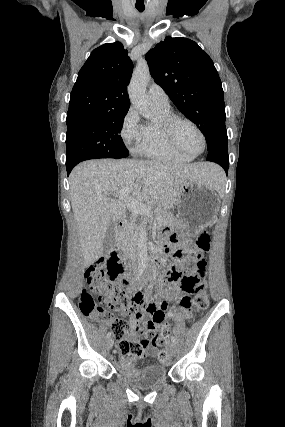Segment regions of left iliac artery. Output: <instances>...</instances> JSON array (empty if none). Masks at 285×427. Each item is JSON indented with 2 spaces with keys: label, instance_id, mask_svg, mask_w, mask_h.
<instances>
[{
  "label": "left iliac artery",
  "instance_id": "44dca946",
  "mask_svg": "<svg viewBox=\"0 0 285 427\" xmlns=\"http://www.w3.org/2000/svg\"><path fill=\"white\" fill-rule=\"evenodd\" d=\"M171 341L173 344L175 345L177 344L176 338L173 335L171 336Z\"/></svg>",
  "mask_w": 285,
  "mask_h": 427
}]
</instances>
